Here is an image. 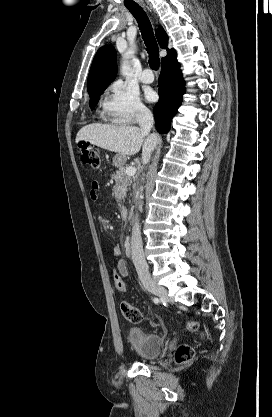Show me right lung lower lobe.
Listing matches in <instances>:
<instances>
[{"instance_id": "right-lung-lower-lobe-1", "label": "right lung lower lobe", "mask_w": 272, "mask_h": 417, "mask_svg": "<svg viewBox=\"0 0 272 417\" xmlns=\"http://www.w3.org/2000/svg\"><path fill=\"white\" fill-rule=\"evenodd\" d=\"M177 54L173 50L161 62L159 77V101L154 107V118L159 133H167L172 118L182 103L185 93V82L177 61Z\"/></svg>"}]
</instances>
